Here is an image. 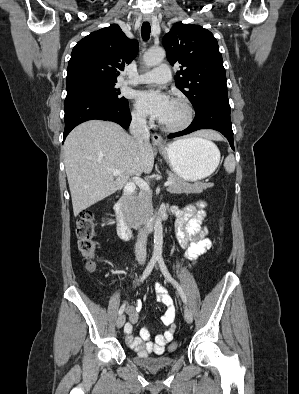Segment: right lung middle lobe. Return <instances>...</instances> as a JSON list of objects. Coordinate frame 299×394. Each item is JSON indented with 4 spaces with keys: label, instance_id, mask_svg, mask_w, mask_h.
<instances>
[{
    "label": "right lung middle lobe",
    "instance_id": "dd1d6c3e",
    "mask_svg": "<svg viewBox=\"0 0 299 394\" xmlns=\"http://www.w3.org/2000/svg\"><path fill=\"white\" fill-rule=\"evenodd\" d=\"M116 82H94L67 88V96L91 93L108 97L113 103L122 105L127 99L120 96V90L115 88Z\"/></svg>",
    "mask_w": 299,
    "mask_h": 394
}]
</instances>
